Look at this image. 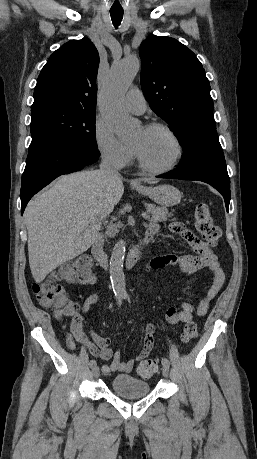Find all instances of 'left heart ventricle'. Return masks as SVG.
Masks as SVG:
<instances>
[{
	"label": "left heart ventricle",
	"mask_w": 257,
	"mask_h": 459,
	"mask_svg": "<svg viewBox=\"0 0 257 459\" xmlns=\"http://www.w3.org/2000/svg\"><path fill=\"white\" fill-rule=\"evenodd\" d=\"M145 162L153 167L168 165L176 154V146L171 137L161 129L141 128L133 139Z\"/></svg>",
	"instance_id": "b2bd125f"
}]
</instances>
